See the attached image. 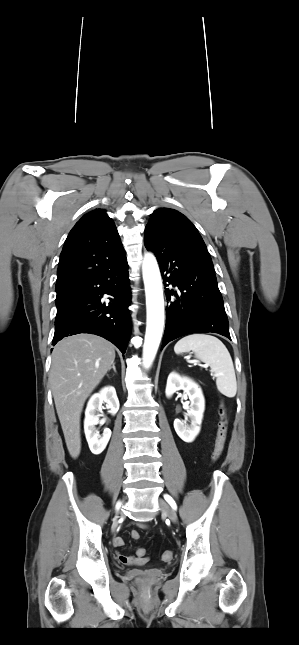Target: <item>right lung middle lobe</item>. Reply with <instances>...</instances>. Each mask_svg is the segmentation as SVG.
<instances>
[{
	"label": "right lung middle lobe",
	"mask_w": 299,
	"mask_h": 645,
	"mask_svg": "<svg viewBox=\"0 0 299 645\" xmlns=\"http://www.w3.org/2000/svg\"><path fill=\"white\" fill-rule=\"evenodd\" d=\"M56 292V306L59 307L72 294V288L59 290Z\"/></svg>",
	"instance_id": "right-lung-middle-lobe-1"
}]
</instances>
